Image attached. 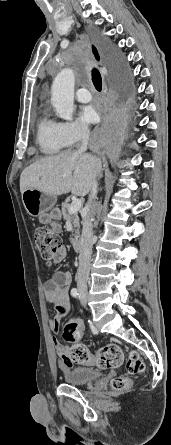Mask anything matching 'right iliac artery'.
Returning a JSON list of instances; mask_svg holds the SVG:
<instances>
[{
  "label": "right iliac artery",
  "instance_id": "82829eb1",
  "mask_svg": "<svg viewBox=\"0 0 171 445\" xmlns=\"http://www.w3.org/2000/svg\"><path fill=\"white\" fill-rule=\"evenodd\" d=\"M71 295H72L73 297H75V298H78V297H79V293H78V291H77L76 288H73V289L71 290Z\"/></svg>",
  "mask_w": 171,
  "mask_h": 445
}]
</instances>
